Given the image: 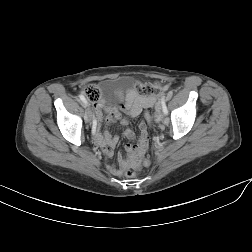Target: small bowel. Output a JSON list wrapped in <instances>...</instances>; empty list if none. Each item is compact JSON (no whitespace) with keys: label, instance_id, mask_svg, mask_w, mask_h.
<instances>
[{"label":"small bowel","instance_id":"small-bowel-1","mask_svg":"<svg viewBox=\"0 0 252 252\" xmlns=\"http://www.w3.org/2000/svg\"><path fill=\"white\" fill-rule=\"evenodd\" d=\"M120 98L121 102L118 105L101 101L94 106L98 123L94 129L96 134L93 135V140L103 149L104 154L108 158L112 157L113 148L117 144L119 137L109 132L102 133L101 124L103 122H119L121 126H127L128 119L121 117V111L135 118L143 110L151 108L156 102L155 98L141 95L136 91H129L125 95L120 94ZM139 129L140 137L136 145L133 144L135 140L134 132L131 129L124 131V137L128 140V144L125 147L126 155L120 153L118 155V165H109V170L114 175H121L132 163L142 162L145 166L149 165V160L144 158L149 146L147 123L145 121L140 122Z\"/></svg>","mask_w":252,"mask_h":252}]
</instances>
